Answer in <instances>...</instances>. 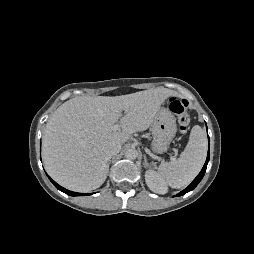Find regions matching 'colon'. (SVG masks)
<instances>
[{"label":"colon","mask_w":254,"mask_h":254,"mask_svg":"<svg viewBox=\"0 0 254 254\" xmlns=\"http://www.w3.org/2000/svg\"><path fill=\"white\" fill-rule=\"evenodd\" d=\"M169 108L177 116L181 132L185 133L191 121L188 102L184 99L172 97L169 99Z\"/></svg>","instance_id":"1"}]
</instances>
